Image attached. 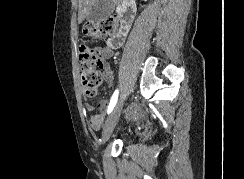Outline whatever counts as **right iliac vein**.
Wrapping results in <instances>:
<instances>
[{"instance_id":"right-iliac-vein-1","label":"right iliac vein","mask_w":244,"mask_h":179,"mask_svg":"<svg viewBox=\"0 0 244 179\" xmlns=\"http://www.w3.org/2000/svg\"><path fill=\"white\" fill-rule=\"evenodd\" d=\"M122 106H123V101L119 100L117 102L116 106H114L111 114L107 118L105 125H104L103 134H102L103 142L107 141L109 139L111 133L113 132V129L119 119Z\"/></svg>"}]
</instances>
